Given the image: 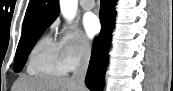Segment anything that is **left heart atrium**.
<instances>
[{"label": "left heart atrium", "instance_id": "1", "mask_svg": "<svg viewBox=\"0 0 173 91\" xmlns=\"http://www.w3.org/2000/svg\"><path fill=\"white\" fill-rule=\"evenodd\" d=\"M83 27L89 37L95 36L100 30L97 16L93 13H87L83 18Z\"/></svg>", "mask_w": 173, "mask_h": 91}]
</instances>
